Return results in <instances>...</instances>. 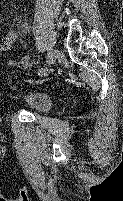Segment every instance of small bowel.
Returning <instances> with one entry per match:
<instances>
[{"mask_svg": "<svg viewBox=\"0 0 123 201\" xmlns=\"http://www.w3.org/2000/svg\"><path fill=\"white\" fill-rule=\"evenodd\" d=\"M26 30V28H24ZM17 33L13 30L9 31L3 41L0 43V54L6 51L10 45L16 40ZM9 66H14L17 68H24L27 65V57L23 55L20 60L15 61L10 59L8 61Z\"/></svg>", "mask_w": 123, "mask_h": 201, "instance_id": "1", "label": "small bowel"}]
</instances>
